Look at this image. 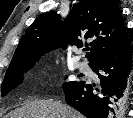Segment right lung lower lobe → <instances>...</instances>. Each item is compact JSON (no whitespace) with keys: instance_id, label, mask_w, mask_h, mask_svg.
I'll return each instance as SVG.
<instances>
[{"instance_id":"98d812e1","label":"right lung lower lobe","mask_w":133,"mask_h":118,"mask_svg":"<svg viewBox=\"0 0 133 118\" xmlns=\"http://www.w3.org/2000/svg\"><path fill=\"white\" fill-rule=\"evenodd\" d=\"M90 67L100 85L80 81L63 88L66 102L87 118L121 117L132 74L130 39L100 54Z\"/></svg>"}]
</instances>
